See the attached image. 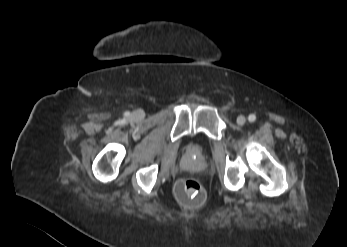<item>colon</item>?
<instances>
[{
    "mask_svg": "<svg viewBox=\"0 0 347 247\" xmlns=\"http://www.w3.org/2000/svg\"><path fill=\"white\" fill-rule=\"evenodd\" d=\"M177 194L182 203L197 207L204 203L206 192L199 180L183 178L177 186Z\"/></svg>",
    "mask_w": 347,
    "mask_h": 247,
    "instance_id": "colon-1",
    "label": "colon"
}]
</instances>
